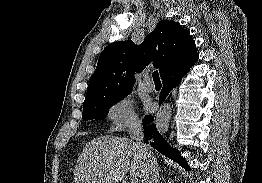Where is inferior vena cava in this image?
I'll list each match as a JSON object with an SVG mask.
<instances>
[{
    "mask_svg": "<svg viewBox=\"0 0 262 183\" xmlns=\"http://www.w3.org/2000/svg\"><path fill=\"white\" fill-rule=\"evenodd\" d=\"M129 135L136 141L139 149V154L143 160L142 166V183H157L158 181V167L157 161L151 150L146 144L142 143L143 127L139 120L134 121L129 128Z\"/></svg>",
    "mask_w": 262,
    "mask_h": 183,
    "instance_id": "602c4592",
    "label": "inferior vena cava"
}]
</instances>
